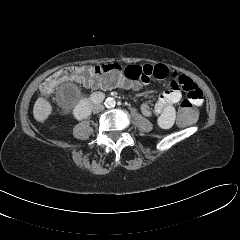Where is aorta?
Returning <instances> with one entry per match:
<instances>
[{
	"label": "aorta",
	"instance_id": "obj_1",
	"mask_svg": "<svg viewBox=\"0 0 240 240\" xmlns=\"http://www.w3.org/2000/svg\"><path fill=\"white\" fill-rule=\"evenodd\" d=\"M104 104H105V106H106L107 108H112V107L115 106L116 101H115L114 98L109 97V98H107V99L105 100V103H104Z\"/></svg>",
	"mask_w": 240,
	"mask_h": 240
}]
</instances>
